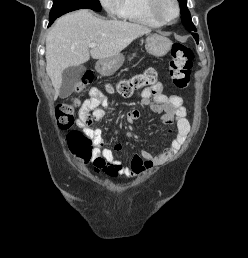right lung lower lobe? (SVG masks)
Wrapping results in <instances>:
<instances>
[{
	"label": "right lung lower lobe",
	"instance_id": "1",
	"mask_svg": "<svg viewBox=\"0 0 248 258\" xmlns=\"http://www.w3.org/2000/svg\"><path fill=\"white\" fill-rule=\"evenodd\" d=\"M54 22V20H52V21H49V26L52 24Z\"/></svg>",
	"mask_w": 248,
	"mask_h": 258
}]
</instances>
